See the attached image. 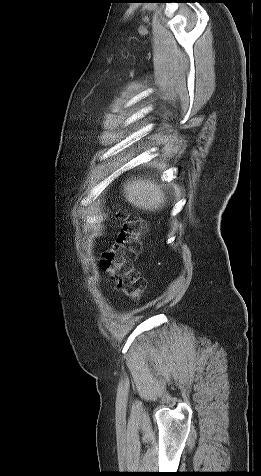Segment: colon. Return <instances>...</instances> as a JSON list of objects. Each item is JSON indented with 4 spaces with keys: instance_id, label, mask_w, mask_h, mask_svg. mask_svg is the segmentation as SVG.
<instances>
[{
    "instance_id": "obj_1",
    "label": "colon",
    "mask_w": 261,
    "mask_h": 476,
    "mask_svg": "<svg viewBox=\"0 0 261 476\" xmlns=\"http://www.w3.org/2000/svg\"><path fill=\"white\" fill-rule=\"evenodd\" d=\"M118 218L122 221V227L110 246L103 251L100 266L117 291L138 301L144 292V281L133 263L141 248L140 239L145 226L141 219L125 213H119Z\"/></svg>"
}]
</instances>
